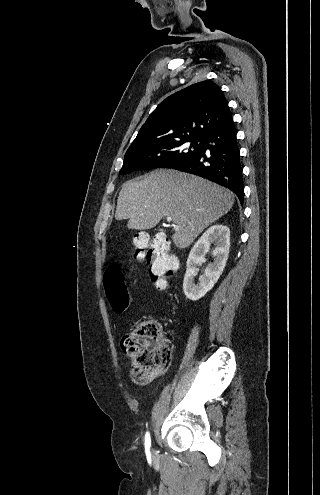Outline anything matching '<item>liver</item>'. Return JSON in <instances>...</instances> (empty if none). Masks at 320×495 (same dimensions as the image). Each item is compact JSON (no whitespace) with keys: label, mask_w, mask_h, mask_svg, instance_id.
Returning <instances> with one entry per match:
<instances>
[{"label":"liver","mask_w":320,"mask_h":495,"mask_svg":"<svg viewBox=\"0 0 320 495\" xmlns=\"http://www.w3.org/2000/svg\"><path fill=\"white\" fill-rule=\"evenodd\" d=\"M234 194L210 181L175 170H158L142 180L123 184L117 200L116 220L127 227L147 230L172 217L174 244L187 248L210 224L227 214Z\"/></svg>","instance_id":"6515ba94"}]
</instances>
